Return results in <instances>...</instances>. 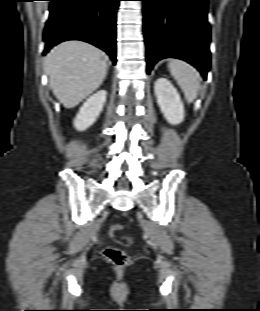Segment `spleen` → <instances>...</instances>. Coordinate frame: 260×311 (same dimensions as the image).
Returning <instances> with one entry per match:
<instances>
[{
  "instance_id": "spleen-1",
  "label": "spleen",
  "mask_w": 260,
  "mask_h": 311,
  "mask_svg": "<svg viewBox=\"0 0 260 311\" xmlns=\"http://www.w3.org/2000/svg\"><path fill=\"white\" fill-rule=\"evenodd\" d=\"M168 68L171 75L181 87L185 95V99L189 103L193 102L199 92V72L187 62L179 59H170Z\"/></svg>"
}]
</instances>
